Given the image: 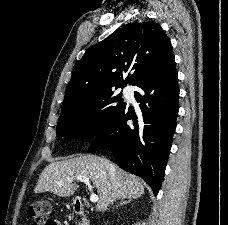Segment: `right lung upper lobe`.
I'll return each mask as SVG.
<instances>
[{
  "label": "right lung upper lobe",
  "instance_id": "1",
  "mask_svg": "<svg viewBox=\"0 0 228 225\" xmlns=\"http://www.w3.org/2000/svg\"><path fill=\"white\" fill-rule=\"evenodd\" d=\"M172 54L170 39L153 21H133L87 49L74 65L62 106L90 96L136 85ZM128 70L132 75L123 79Z\"/></svg>",
  "mask_w": 228,
  "mask_h": 225
}]
</instances>
